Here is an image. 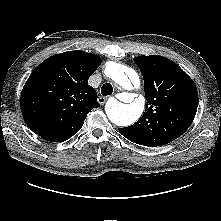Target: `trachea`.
<instances>
[{"label": "trachea", "mask_w": 221, "mask_h": 221, "mask_svg": "<svg viewBox=\"0 0 221 221\" xmlns=\"http://www.w3.org/2000/svg\"><path fill=\"white\" fill-rule=\"evenodd\" d=\"M113 92V87L110 83H105L101 88V94L103 96L111 95Z\"/></svg>", "instance_id": "obj_1"}]
</instances>
